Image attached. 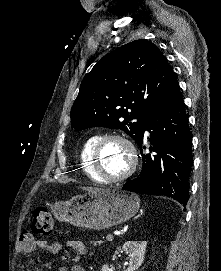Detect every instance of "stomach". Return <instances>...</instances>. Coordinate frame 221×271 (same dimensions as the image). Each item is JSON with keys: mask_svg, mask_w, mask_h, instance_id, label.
Segmentation results:
<instances>
[{"mask_svg": "<svg viewBox=\"0 0 221 271\" xmlns=\"http://www.w3.org/2000/svg\"><path fill=\"white\" fill-rule=\"evenodd\" d=\"M56 205L65 208H54V213H63V219L76 227L105 229L133 217L140 207V199L137 193L113 187L107 193L91 191L87 195L73 197L70 202H57Z\"/></svg>", "mask_w": 221, "mask_h": 271, "instance_id": "obj_1", "label": "stomach"}]
</instances>
